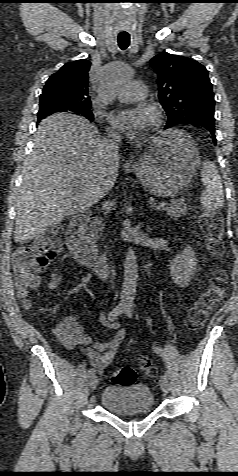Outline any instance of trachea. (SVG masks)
<instances>
[{
	"mask_svg": "<svg viewBox=\"0 0 238 476\" xmlns=\"http://www.w3.org/2000/svg\"><path fill=\"white\" fill-rule=\"evenodd\" d=\"M118 45L120 49L125 50L128 48L130 44V36L129 35H119L117 38Z\"/></svg>",
	"mask_w": 238,
	"mask_h": 476,
	"instance_id": "obj_1",
	"label": "trachea"
}]
</instances>
